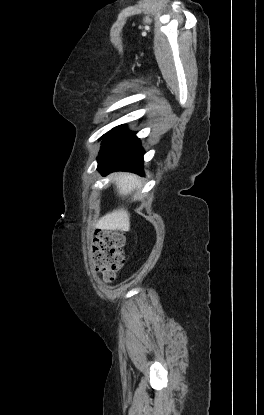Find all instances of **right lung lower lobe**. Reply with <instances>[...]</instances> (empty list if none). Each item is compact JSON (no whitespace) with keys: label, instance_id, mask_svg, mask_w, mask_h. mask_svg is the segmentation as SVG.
Segmentation results:
<instances>
[{"label":"right lung lower lobe","instance_id":"obj_1","mask_svg":"<svg viewBox=\"0 0 264 415\" xmlns=\"http://www.w3.org/2000/svg\"><path fill=\"white\" fill-rule=\"evenodd\" d=\"M99 152L98 170L103 175L114 171L143 173V154L139 139L124 125L110 130Z\"/></svg>","mask_w":264,"mask_h":415}]
</instances>
